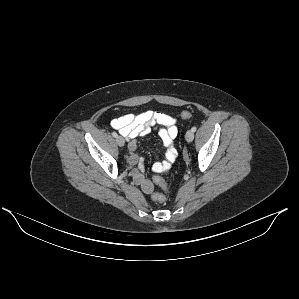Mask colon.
Returning a JSON list of instances; mask_svg holds the SVG:
<instances>
[{"label":"colon","instance_id":"5ec220e1","mask_svg":"<svg viewBox=\"0 0 299 299\" xmlns=\"http://www.w3.org/2000/svg\"><path fill=\"white\" fill-rule=\"evenodd\" d=\"M191 116H192V114L189 111H184L181 114V118L184 119V120H187V119L191 118ZM155 181H156L157 185H159L164 190H167V185L165 184V182L161 178L157 177V178H155ZM153 199L157 202L162 203V202L165 201V196L161 193H154Z\"/></svg>","mask_w":299,"mask_h":299}]
</instances>
